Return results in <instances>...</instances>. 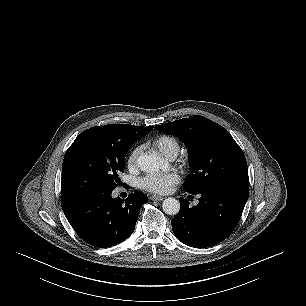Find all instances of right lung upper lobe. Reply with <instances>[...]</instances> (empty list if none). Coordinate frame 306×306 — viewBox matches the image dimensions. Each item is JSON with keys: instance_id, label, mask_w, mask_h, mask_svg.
Listing matches in <instances>:
<instances>
[{"instance_id": "obj_1", "label": "right lung upper lobe", "mask_w": 306, "mask_h": 306, "mask_svg": "<svg viewBox=\"0 0 306 306\" xmlns=\"http://www.w3.org/2000/svg\"><path fill=\"white\" fill-rule=\"evenodd\" d=\"M92 129L109 130L119 134L120 136L136 137L140 139L141 137L147 135L153 129V126L140 127V126H133L130 124H114L102 127H93L87 130H92Z\"/></svg>"}]
</instances>
